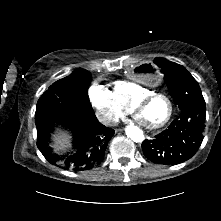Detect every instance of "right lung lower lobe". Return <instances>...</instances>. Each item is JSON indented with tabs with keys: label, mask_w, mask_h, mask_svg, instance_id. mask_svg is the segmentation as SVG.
<instances>
[{
	"label": "right lung lower lobe",
	"mask_w": 221,
	"mask_h": 221,
	"mask_svg": "<svg viewBox=\"0 0 221 221\" xmlns=\"http://www.w3.org/2000/svg\"><path fill=\"white\" fill-rule=\"evenodd\" d=\"M66 126L74 135V151L69 155L55 154L49 147L50 134L58 126ZM114 130L100 124L96 116L74 115L37 128V146L43 156L53 165L74 171L89 170L100 164Z\"/></svg>",
	"instance_id": "obj_1"
}]
</instances>
